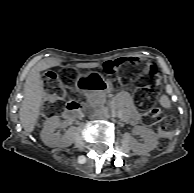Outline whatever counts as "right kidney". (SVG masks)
<instances>
[{"label":"right kidney","mask_w":194,"mask_h":193,"mask_svg":"<svg viewBox=\"0 0 194 193\" xmlns=\"http://www.w3.org/2000/svg\"><path fill=\"white\" fill-rule=\"evenodd\" d=\"M60 126V119L58 116H53L49 118L40 133V137L43 143L51 148L54 147H68L73 142V132L68 130L64 135H59L54 131Z\"/></svg>","instance_id":"1"}]
</instances>
